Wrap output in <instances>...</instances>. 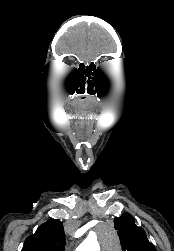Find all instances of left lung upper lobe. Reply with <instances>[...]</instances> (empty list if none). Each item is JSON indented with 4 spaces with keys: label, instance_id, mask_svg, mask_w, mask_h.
Here are the masks:
<instances>
[{
    "label": "left lung upper lobe",
    "instance_id": "1",
    "mask_svg": "<svg viewBox=\"0 0 174 251\" xmlns=\"http://www.w3.org/2000/svg\"><path fill=\"white\" fill-rule=\"evenodd\" d=\"M114 226L118 230L122 251H156L154 245L148 241L146 232L136 226L129 213L116 217Z\"/></svg>",
    "mask_w": 174,
    "mask_h": 251
}]
</instances>
